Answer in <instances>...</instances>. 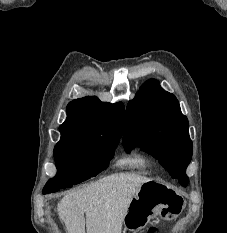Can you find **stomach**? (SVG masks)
Listing matches in <instances>:
<instances>
[{
	"mask_svg": "<svg viewBox=\"0 0 227 233\" xmlns=\"http://www.w3.org/2000/svg\"><path fill=\"white\" fill-rule=\"evenodd\" d=\"M183 208L184 198L177 190L166 183L151 180L138 188L123 223L126 229L138 231L156 216L166 220L176 218Z\"/></svg>",
	"mask_w": 227,
	"mask_h": 233,
	"instance_id": "0dacf381",
	"label": "stomach"
}]
</instances>
